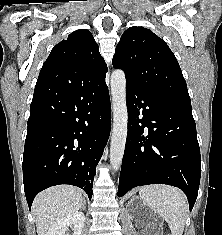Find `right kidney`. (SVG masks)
<instances>
[{
    "label": "right kidney",
    "instance_id": "right-kidney-1",
    "mask_svg": "<svg viewBox=\"0 0 222 235\" xmlns=\"http://www.w3.org/2000/svg\"><path fill=\"white\" fill-rule=\"evenodd\" d=\"M85 223V215L76 212L54 223L47 232V235H66L69 226L73 228V235H81Z\"/></svg>",
    "mask_w": 222,
    "mask_h": 235
}]
</instances>
